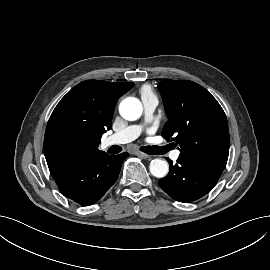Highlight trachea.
Listing matches in <instances>:
<instances>
[{
	"label": "trachea",
	"instance_id": "3493384b",
	"mask_svg": "<svg viewBox=\"0 0 270 270\" xmlns=\"http://www.w3.org/2000/svg\"><path fill=\"white\" fill-rule=\"evenodd\" d=\"M140 150L142 152H145L149 155H162V154H165L169 148L167 146H162V147H159V146H146V147H141ZM120 152V149H117L114 154Z\"/></svg>",
	"mask_w": 270,
	"mask_h": 270
}]
</instances>
